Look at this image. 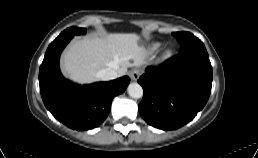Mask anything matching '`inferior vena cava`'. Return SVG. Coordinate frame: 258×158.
I'll list each match as a JSON object with an SVG mask.
<instances>
[{"label":"inferior vena cava","instance_id":"1","mask_svg":"<svg viewBox=\"0 0 258 158\" xmlns=\"http://www.w3.org/2000/svg\"><path fill=\"white\" fill-rule=\"evenodd\" d=\"M97 77L104 81L113 80L118 77V72L116 69H114L112 67H108L103 70H100L97 73Z\"/></svg>","mask_w":258,"mask_h":158}]
</instances>
